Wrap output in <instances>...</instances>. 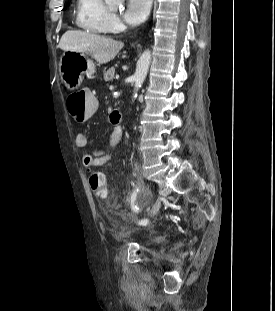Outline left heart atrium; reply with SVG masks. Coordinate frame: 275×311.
Wrapping results in <instances>:
<instances>
[{"label":"left heart atrium","mask_w":275,"mask_h":311,"mask_svg":"<svg viewBox=\"0 0 275 311\" xmlns=\"http://www.w3.org/2000/svg\"><path fill=\"white\" fill-rule=\"evenodd\" d=\"M151 7V0H128L124 19L130 25H137L145 20Z\"/></svg>","instance_id":"39dd6f15"}]
</instances>
